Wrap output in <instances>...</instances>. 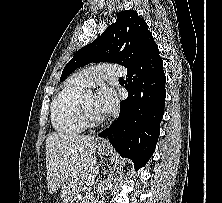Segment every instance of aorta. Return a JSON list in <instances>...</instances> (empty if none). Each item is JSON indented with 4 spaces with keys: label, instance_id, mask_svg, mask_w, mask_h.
Segmentation results:
<instances>
[{
    "label": "aorta",
    "instance_id": "1",
    "mask_svg": "<svg viewBox=\"0 0 222 203\" xmlns=\"http://www.w3.org/2000/svg\"><path fill=\"white\" fill-rule=\"evenodd\" d=\"M112 179H113V176L112 177L110 176L108 178V180L106 181V183H105V193H106V190H108V188H110L112 186ZM103 196H102V200H103Z\"/></svg>",
    "mask_w": 222,
    "mask_h": 203
}]
</instances>
